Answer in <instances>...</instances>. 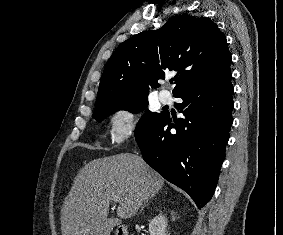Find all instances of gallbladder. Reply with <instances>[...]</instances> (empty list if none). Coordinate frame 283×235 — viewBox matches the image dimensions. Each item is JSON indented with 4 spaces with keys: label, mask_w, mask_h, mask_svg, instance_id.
<instances>
[{
    "label": "gallbladder",
    "mask_w": 283,
    "mask_h": 235,
    "mask_svg": "<svg viewBox=\"0 0 283 235\" xmlns=\"http://www.w3.org/2000/svg\"><path fill=\"white\" fill-rule=\"evenodd\" d=\"M108 221L112 223V228H111V230L113 229L114 226L118 225V223H119L118 219L113 218V217L110 218V219H108Z\"/></svg>",
    "instance_id": "bac80fb5"
}]
</instances>
